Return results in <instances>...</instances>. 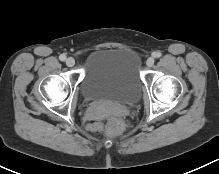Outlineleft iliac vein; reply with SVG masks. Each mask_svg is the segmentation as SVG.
I'll return each mask as SVG.
<instances>
[{
  "instance_id": "4c4485c4",
  "label": "left iliac vein",
  "mask_w": 219,
  "mask_h": 174,
  "mask_svg": "<svg viewBox=\"0 0 219 174\" xmlns=\"http://www.w3.org/2000/svg\"><path fill=\"white\" fill-rule=\"evenodd\" d=\"M146 65L148 67H152L154 65V58L152 57H149L147 60H146Z\"/></svg>"
}]
</instances>
